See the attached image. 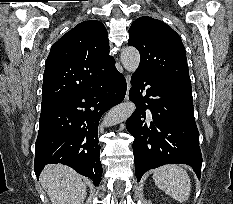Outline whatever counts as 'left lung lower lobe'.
Wrapping results in <instances>:
<instances>
[{
	"label": "left lung lower lobe",
	"instance_id": "left-lung-lower-lobe-1",
	"mask_svg": "<svg viewBox=\"0 0 233 204\" xmlns=\"http://www.w3.org/2000/svg\"><path fill=\"white\" fill-rule=\"evenodd\" d=\"M131 84L129 98L137 108L126 128L135 138L137 180L149 169L172 163L190 165L200 178L202 155L192 88L139 71L132 75Z\"/></svg>",
	"mask_w": 233,
	"mask_h": 204
}]
</instances>
